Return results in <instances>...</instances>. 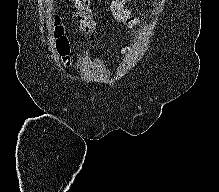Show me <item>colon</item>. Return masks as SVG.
Segmentation results:
<instances>
[{
	"instance_id": "obj_1",
	"label": "colon",
	"mask_w": 219,
	"mask_h": 192,
	"mask_svg": "<svg viewBox=\"0 0 219 192\" xmlns=\"http://www.w3.org/2000/svg\"><path fill=\"white\" fill-rule=\"evenodd\" d=\"M76 6H80L82 8H87L89 5V0H74ZM84 26L86 30L93 28L94 24L90 20L84 21ZM54 36L56 39V48L59 55L62 57L64 63H68L69 56V40L66 35L64 27L60 24L59 20L56 18L54 23Z\"/></svg>"
}]
</instances>
